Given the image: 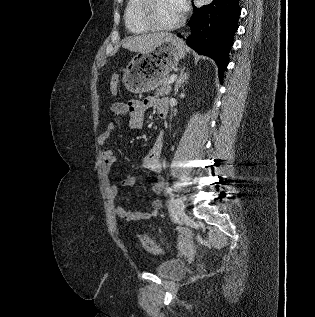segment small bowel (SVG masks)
Returning a JSON list of instances; mask_svg holds the SVG:
<instances>
[{
  "label": "small bowel",
  "mask_w": 315,
  "mask_h": 317,
  "mask_svg": "<svg viewBox=\"0 0 315 317\" xmlns=\"http://www.w3.org/2000/svg\"><path fill=\"white\" fill-rule=\"evenodd\" d=\"M155 109L158 115L163 118L166 116L168 109V101L165 98L147 97L143 100H129L125 103H114L110 106V113L113 117L128 116V123L131 128L138 129L144 124L145 112L147 109ZM117 129L115 122H110L106 130L100 135L99 141L105 145L102 158L104 168L107 174H112L115 164V155L111 148L108 147V140ZM163 146V136L159 134L154 141L152 147L147 153L144 160V167L155 174H161L163 165L160 160V155ZM136 183V179L132 175H127L120 185L124 187H132ZM163 181L159 178L151 187L154 195H159L163 189ZM118 186L112 185L109 189L110 196L115 198L118 194ZM162 207V202L159 199H154L151 203V209L148 211L134 212L126 209L124 206L117 204L115 212L118 217L126 221H144L156 217Z\"/></svg>",
  "instance_id": "obj_1"
}]
</instances>
